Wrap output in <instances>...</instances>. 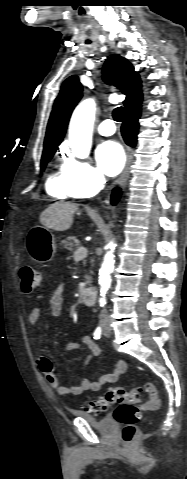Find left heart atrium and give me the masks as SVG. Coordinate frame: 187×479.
Instances as JSON below:
<instances>
[{
    "instance_id": "1",
    "label": "left heart atrium",
    "mask_w": 187,
    "mask_h": 479,
    "mask_svg": "<svg viewBox=\"0 0 187 479\" xmlns=\"http://www.w3.org/2000/svg\"><path fill=\"white\" fill-rule=\"evenodd\" d=\"M96 159L102 170L109 176H115L123 169L125 154L120 144L105 141L96 149Z\"/></svg>"
}]
</instances>
